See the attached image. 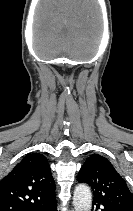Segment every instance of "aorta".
<instances>
[{
    "instance_id": "aorta-1",
    "label": "aorta",
    "mask_w": 133,
    "mask_h": 211,
    "mask_svg": "<svg viewBox=\"0 0 133 211\" xmlns=\"http://www.w3.org/2000/svg\"><path fill=\"white\" fill-rule=\"evenodd\" d=\"M73 205L75 211H91L92 194L85 184H79L74 190Z\"/></svg>"
}]
</instances>
